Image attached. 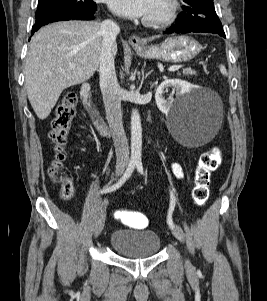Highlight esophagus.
I'll return each instance as SVG.
<instances>
[{"label": "esophagus", "mask_w": 267, "mask_h": 301, "mask_svg": "<svg viewBox=\"0 0 267 301\" xmlns=\"http://www.w3.org/2000/svg\"><path fill=\"white\" fill-rule=\"evenodd\" d=\"M129 43L133 47H142L144 46L143 40L138 35H133L129 39Z\"/></svg>", "instance_id": "obj_1"}]
</instances>
